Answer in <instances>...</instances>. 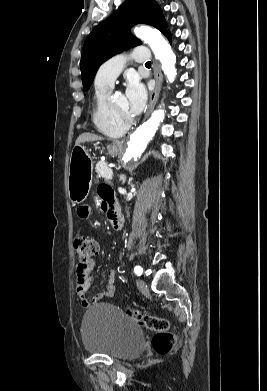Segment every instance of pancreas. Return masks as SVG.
Instances as JSON below:
<instances>
[{
	"label": "pancreas",
	"mask_w": 267,
	"mask_h": 391,
	"mask_svg": "<svg viewBox=\"0 0 267 391\" xmlns=\"http://www.w3.org/2000/svg\"><path fill=\"white\" fill-rule=\"evenodd\" d=\"M96 173L105 179H111L113 176L112 170L108 167V164L104 161H99L95 167Z\"/></svg>",
	"instance_id": "pancreas-1"
}]
</instances>
